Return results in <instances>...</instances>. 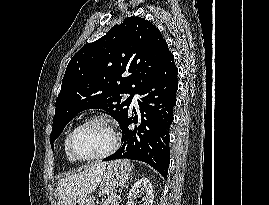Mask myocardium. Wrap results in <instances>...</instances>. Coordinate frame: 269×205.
<instances>
[{"mask_svg":"<svg viewBox=\"0 0 269 205\" xmlns=\"http://www.w3.org/2000/svg\"><path fill=\"white\" fill-rule=\"evenodd\" d=\"M94 122L103 123L108 128V130L110 131V134L112 136V145L108 150H106L105 152L100 153L98 155L89 156V157L79 156L74 150V146H73L74 137H75L76 133L82 127H84L90 123H94ZM120 144H121V138H120V135H119V132L117 129L116 122L106 115L99 114V115H93V116L86 118L85 120L80 122L76 127L73 128V130L70 132L69 137H68L67 147H68L69 154L76 161H94V160H101V159H104V158L111 156L119 149Z\"/></svg>","mask_w":269,"mask_h":205,"instance_id":"1","label":"myocardium"}]
</instances>
